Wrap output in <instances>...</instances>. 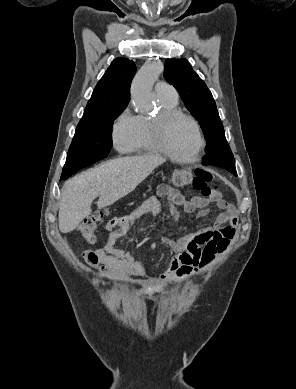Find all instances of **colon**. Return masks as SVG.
<instances>
[{
	"instance_id": "colon-1",
	"label": "colon",
	"mask_w": 296,
	"mask_h": 389,
	"mask_svg": "<svg viewBox=\"0 0 296 389\" xmlns=\"http://www.w3.org/2000/svg\"><path fill=\"white\" fill-rule=\"evenodd\" d=\"M211 181V174L203 169L192 170L190 168H181L172 174V183L175 186H193L204 198L217 196V188L211 185ZM104 217L105 212L97 211L81 222L77 228L78 232L86 241L93 243L95 241V232Z\"/></svg>"
}]
</instances>
